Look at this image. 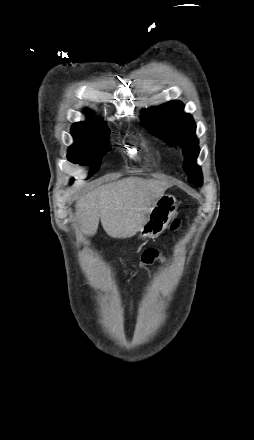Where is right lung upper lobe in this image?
<instances>
[{
  "label": "right lung upper lobe",
  "instance_id": "cb5924a9",
  "mask_svg": "<svg viewBox=\"0 0 254 440\" xmlns=\"http://www.w3.org/2000/svg\"><path fill=\"white\" fill-rule=\"evenodd\" d=\"M88 114H90V113L88 112ZM72 127L73 128L88 129V130H95V131H102V130L108 129V127L104 123H102L94 118H91V117H89V121L75 123Z\"/></svg>",
  "mask_w": 254,
  "mask_h": 440
}]
</instances>
